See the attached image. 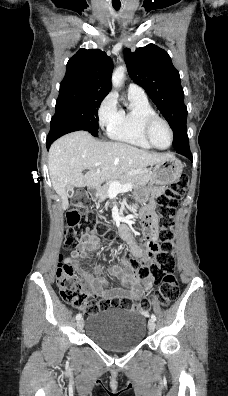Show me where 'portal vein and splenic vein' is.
I'll return each mask as SVG.
<instances>
[{
	"label": "portal vein and splenic vein",
	"mask_w": 228,
	"mask_h": 396,
	"mask_svg": "<svg viewBox=\"0 0 228 396\" xmlns=\"http://www.w3.org/2000/svg\"><path fill=\"white\" fill-rule=\"evenodd\" d=\"M98 165L99 164L96 163V166H98ZM132 188H133L132 184H130V183L121 185L119 182H114L111 184V192H113V193L125 192L128 190H131Z\"/></svg>",
	"instance_id": "1"
}]
</instances>
